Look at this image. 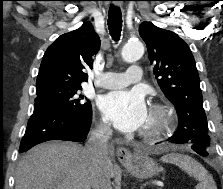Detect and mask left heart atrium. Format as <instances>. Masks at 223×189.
Returning <instances> with one entry per match:
<instances>
[{
    "label": "left heart atrium",
    "instance_id": "obj_1",
    "mask_svg": "<svg viewBox=\"0 0 223 189\" xmlns=\"http://www.w3.org/2000/svg\"><path fill=\"white\" fill-rule=\"evenodd\" d=\"M104 117L122 132L142 128L148 118L144 94L139 90L113 91L99 101Z\"/></svg>",
    "mask_w": 223,
    "mask_h": 189
}]
</instances>
